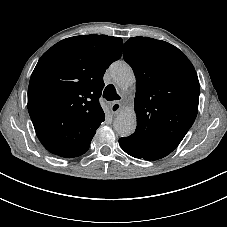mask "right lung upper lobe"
Returning a JSON list of instances; mask_svg holds the SVG:
<instances>
[{"mask_svg":"<svg viewBox=\"0 0 227 227\" xmlns=\"http://www.w3.org/2000/svg\"><path fill=\"white\" fill-rule=\"evenodd\" d=\"M121 38L64 39L39 59L29 82L28 111L43 146L62 157L84 154L104 121L103 75L122 54Z\"/></svg>","mask_w":227,"mask_h":227,"instance_id":"right-lung-upper-lobe-1","label":"right lung upper lobe"}]
</instances>
